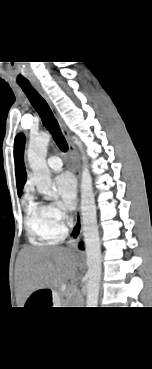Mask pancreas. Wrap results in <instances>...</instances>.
<instances>
[{
	"label": "pancreas",
	"instance_id": "pancreas-1",
	"mask_svg": "<svg viewBox=\"0 0 152 369\" xmlns=\"http://www.w3.org/2000/svg\"><path fill=\"white\" fill-rule=\"evenodd\" d=\"M68 296H69V298H73V295H72V294H69V293H68ZM76 303H77V302H76Z\"/></svg>",
	"mask_w": 152,
	"mask_h": 369
}]
</instances>
